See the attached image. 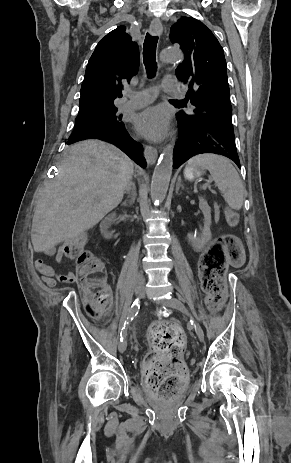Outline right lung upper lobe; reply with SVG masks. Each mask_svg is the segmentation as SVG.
Returning <instances> with one entry per match:
<instances>
[{
	"mask_svg": "<svg viewBox=\"0 0 291 463\" xmlns=\"http://www.w3.org/2000/svg\"><path fill=\"white\" fill-rule=\"evenodd\" d=\"M125 30L119 26L97 44L86 67L77 117L116 108L114 99L122 96L124 82L137 72L139 47Z\"/></svg>",
	"mask_w": 291,
	"mask_h": 463,
	"instance_id": "cb5924a9",
	"label": "right lung upper lobe"
}]
</instances>
